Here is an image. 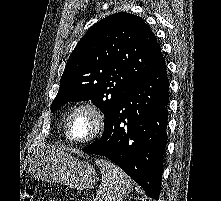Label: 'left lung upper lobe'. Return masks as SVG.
Instances as JSON below:
<instances>
[{
    "mask_svg": "<svg viewBox=\"0 0 221 201\" xmlns=\"http://www.w3.org/2000/svg\"><path fill=\"white\" fill-rule=\"evenodd\" d=\"M164 60L141 17L119 12L94 24L77 43L61 77L51 110L91 100L106 125L128 92Z\"/></svg>",
    "mask_w": 221,
    "mask_h": 201,
    "instance_id": "left-lung-upper-lobe-1",
    "label": "left lung upper lobe"
}]
</instances>
